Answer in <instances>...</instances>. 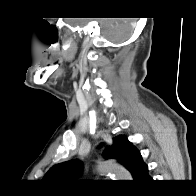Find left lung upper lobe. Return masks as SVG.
Masks as SVG:
<instances>
[{
	"label": "left lung upper lobe",
	"instance_id": "obj_1",
	"mask_svg": "<svg viewBox=\"0 0 196 196\" xmlns=\"http://www.w3.org/2000/svg\"><path fill=\"white\" fill-rule=\"evenodd\" d=\"M104 157L116 159L131 172L133 177L139 162L143 161L138 149L125 136L113 138V145L105 149ZM81 170V162L70 160L51 167L43 180L49 183L70 181L79 175Z\"/></svg>",
	"mask_w": 196,
	"mask_h": 196
}]
</instances>
